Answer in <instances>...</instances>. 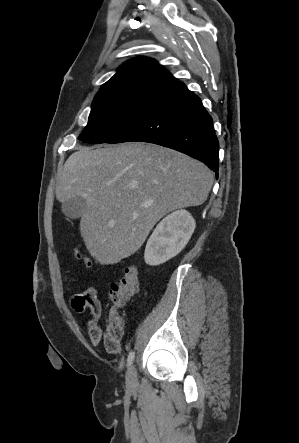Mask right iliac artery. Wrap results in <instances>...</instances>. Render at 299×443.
Wrapping results in <instances>:
<instances>
[{"mask_svg":"<svg viewBox=\"0 0 299 443\" xmlns=\"http://www.w3.org/2000/svg\"><path fill=\"white\" fill-rule=\"evenodd\" d=\"M134 357H135V353H134L133 351H131V352L129 353V355H128V359H127V362H128L129 365H131V364L133 363V361H134Z\"/></svg>","mask_w":299,"mask_h":443,"instance_id":"1","label":"right iliac artery"}]
</instances>
